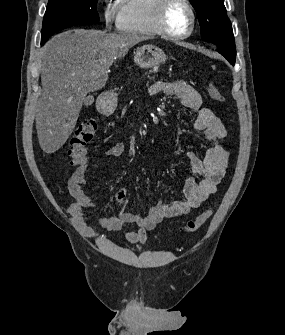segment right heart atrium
Here are the masks:
<instances>
[{"label": "right heart atrium", "instance_id": "d8ad5b80", "mask_svg": "<svg viewBox=\"0 0 285 335\" xmlns=\"http://www.w3.org/2000/svg\"><path fill=\"white\" fill-rule=\"evenodd\" d=\"M102 18L106 26H111L118 21V10L110 4L102 8Z\"/></svg>", "mask_w": 285, "mask_h": 335}]
</instances>
